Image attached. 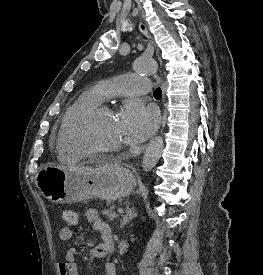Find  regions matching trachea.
Returning a JSON list of instances; mask_svg holds the SVG:
<instances>
[{
	"label": "trachea",
	"instance_id": "3493384b",
	"mask_svg": "<svg viewBox=\"0 0 263 275\" xmlns=\"http://www.w3.org/2000/svg\"><path fill=\"white\" fill-rule=\"evenodd\" d=\"M154 97L157 98V99H161V97H162L161 88H156L155 89V91H154Z\"/></svg>",
	"mask_w": 263,
	"mask_h": 275
}]
</instances>
